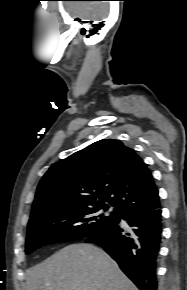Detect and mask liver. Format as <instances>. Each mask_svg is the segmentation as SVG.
Instances as JSON below:
<instances>
[{
  "label": "liver",
  "mask_w": 187,
  "mask_h": 290,
  "mask_svg": "<svg viewBox=\"0 0 187 290\" xmlns=\"http://www.w3.org/2000/svg\"><path fill=\"white\" fill-rule=\"evenodd\" d=\"M26 290H138L102 249L68 245L28 269Z\"/></svg>",
  "instance_id": "6515ba94"
}]
</instances>
